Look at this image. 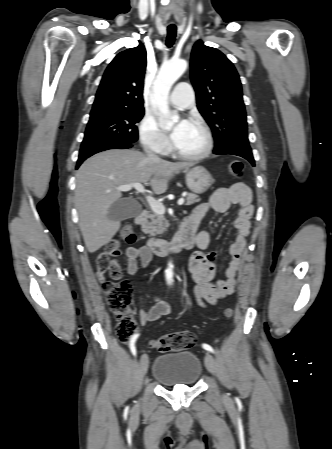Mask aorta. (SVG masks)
Here are the masks:
<instances>
[{
  "label": "aorta",
  "instance_id": "762f6f07",
  "mask_svg": "<svg viewBox=\"0 0 332 449\" xmlns=\"http://www.w3.org/2000/svg\"><path fill=\"white\" fill-rule=\"evenodd\" d=\"M187 62L183 59L170 60L164 63L154 82L153 93L155 104L162 117L166 119L165 127L171 128L178 120V115H171L168 106V96L172 85L185 72ZM165 278L168 283L173 282L172 264L169 263L165 270Z\"/></svg>",
  "mask_w": 332,
  "mask_h": 449
}]
</instances>
